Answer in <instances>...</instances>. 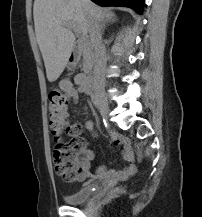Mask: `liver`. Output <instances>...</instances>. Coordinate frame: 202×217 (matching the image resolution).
Instances as JSON below:
<instances>
[{
	"label": "liver",
	"instance_id": "liver-1",
	"mask_svg": "<svg viewBox=\"0 0 202 217\" xmlns=\"http://www.w3.org/2000/svg\"><path fill=\"white\" fill-rule=\"evenodd\" d=\"M113 15L91 0L34 1L36 39L50 82L61 75L74 49L75 36L64 24L73 23L87 36L91 19L101 21Z\"/></svg>",
	"mask_w": 202,
	"mask_h": 217
}]
</instances>
